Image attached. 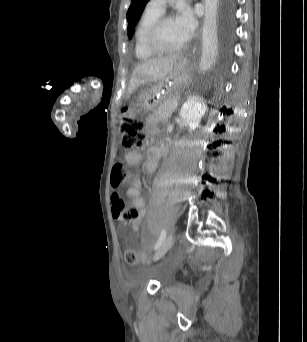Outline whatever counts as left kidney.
Listing matches in <instances>:
<instances>
[{
  "mask_svg": "<svg viewBox=\"0 0 307 342\" xmlns=\"http://www.w3.org/2000/svg\"><path fill=\"white\" fill-rule=\"evenodd\" d=\"M207 108L197 96H190L186 102H184L180 110V118L184 124L189 126V132H193L196 128H199V124L206 112Z\"/></svg>",
  "mask_w": 307,
  "mask_h": 342,
  "instance_id": "1",
  "label": "left kidney"
}]
</instances>
